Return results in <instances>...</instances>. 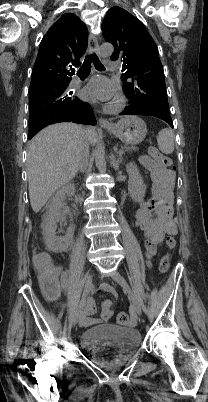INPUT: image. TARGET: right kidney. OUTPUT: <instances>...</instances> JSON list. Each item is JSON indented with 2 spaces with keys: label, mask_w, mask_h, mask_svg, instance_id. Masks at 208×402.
Segmentation results:
<instances>
[{
  "label": "right kidney",
  "mask_w": 208,
  "mask_h": 402,
  "mask_svg": "<svg viewBox=\"0 0 208 402\" xmlns=\"http://www.w3.org/2000/svg\"><path fill=\"white\" fill-rule=\"evenodd\" d=\"M67 196H75L74 184H65L58 192H56L54 198L50 202V212L44 222V238L48 248H51L52 252H65L68 248V242L73 238V230H69L66 236L58 238L55 236L57 222H59L62 216L69 214L70 210L65 204ZM64 208V210H60ZM61 242H67V244H61Z\"/></svg>",
  "instance_id": "ca27d5eb"
}]
</instances>
